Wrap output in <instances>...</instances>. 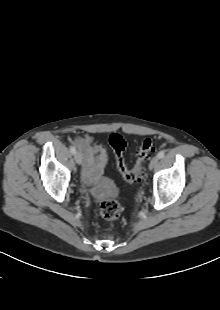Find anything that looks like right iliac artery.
I'll list each match as a JSON object with an SVG mask.
<instances>
[{"label": "right iliac artery", "instance_id": "82829eb1", "mask_svg": "<svg viewBox=\"0 0 220 310\" xmlns=\"http://www.w3.org/2000/svg\"><path fill=\"white\" fill-rule=\"evenodd\" d=\"M70 152H71L72 154H75V153H76V148H75L74 146H71V147H70Z\"/></svg>", "mask_w": 220, "mask_h": 310}]
</instances>
